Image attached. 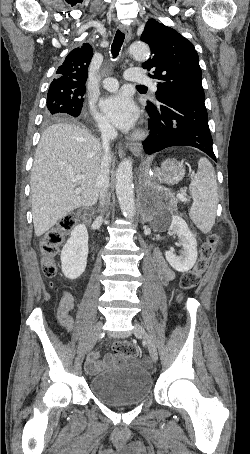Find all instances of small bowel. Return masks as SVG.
I'll return each mask as SVG.
<instances>
[{
  "label": "small bowel",
  "mask_w": 250,
  "mask_h": 454,
  "mask_svg": "<svg viewBox=\"0 0 250 454\" xmlns=\"http://www.w3.org/2000/svg\"><path fill=\"white\" fill-rule=\"evenodd\" d=\"M155 265L159 277L163 283H167L174 278L173 271L169 268V266L164 261L162 255L157 252L155 254ZM75 307V299L73 295L68 292L64 291L62 298L59 302L57 307L56 315L57 320L61 326H63L67 331H71L74 326V319L71 315ZM100 353L98 350L92 351L85 363V369L89 374L97 373L102 367L109 366L114 363L115 359L111 355H108L104 360H99Z\"/></svg>",
  "instance_id": "1"
}]
</instances>
